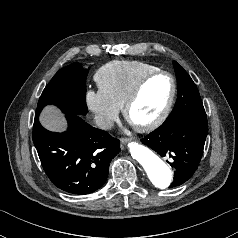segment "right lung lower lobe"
Listing matches in <instances>:
<instances>
[{"label":"right lung lower lobe","instance_id":"obj_1","mask_svg":"<svg viewBox=\"0 0 238 238\" xmlns=\"http://www.w3.org/2000/svg\"><path fill=\"white\" fill-rule=\"evenodd\" d=\"M68 130H46L35 118L33 142L42 167L61 190L85 195L100 189L108 176V165L120 152V142L96 129L76 114L67 115Z\"/></svg>","mask_w":238,"mask_h":238}]
</instances>
